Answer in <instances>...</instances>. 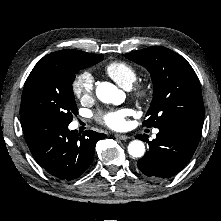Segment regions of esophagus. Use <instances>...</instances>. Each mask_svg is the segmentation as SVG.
Returning <instances> with one entry per match:
<instances>
[{"label":"esophagus","instance_id":"esophagus-1","mask_svg":"<svg viewBox=\"0 0 221 221\" xmlns=\"http://www.w3.org/2000/svg\"><path fill=\"white\" fill-rule=\"evenodd\" d=\"M115 137H116L117 139H120V140H123V141H126V140L129 139V136L123 135V134H116Z\"/></svg>","mask_w":221,"mask_h":221}]
</instances>
